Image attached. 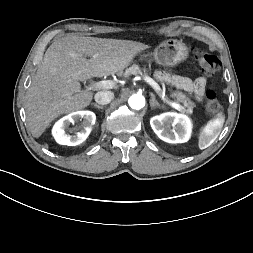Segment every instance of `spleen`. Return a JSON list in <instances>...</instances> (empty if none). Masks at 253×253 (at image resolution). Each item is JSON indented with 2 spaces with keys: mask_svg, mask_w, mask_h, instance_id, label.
<instances>
[{
  "mask_svg": "<svg viewBox=\"0 0 253 253\" xmlns=\"http://www.w3.org/2000/svg\"><path fill=\"white\" fill-rule=\"evenodd\" d=\"M225 121L223 115L210 120L201 130L198 140L199 149L203 150L209 147L221 132Z\"/></svg>",
  "mask_w": 253,
  "mask_h": 253,
  "instance_id": "spleen-1",
  "label": "spleen"
}]
</instances>
